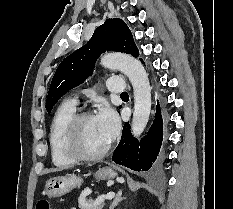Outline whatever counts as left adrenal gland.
Returning <instances> with one entry per match:
<instances>
[{
    "label": "left adrenal gland",
    "instance_id": "a2214340",
    "mask_svg": "<svg viewBox=\"0 0 233 209\" xmlns=\"http://www.w3.org/2000/svg\"><path fill=\"white\" fill-rule=\"evenodd\" d=\"M121 195H122V192L121 191L118 192V194L116 195V197L113 200L112 204L110 205L109 209H114L117 206V204L123 200Z\"/></svg>",
    "mask_w": 233,
    "mask_h": 209
}]
</instances>
